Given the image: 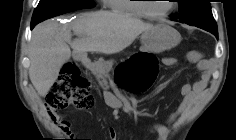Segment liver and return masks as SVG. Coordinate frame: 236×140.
<instances>
[{"label": "liver", "instance_id": "liver-1", "mask_svg": "<svg viewBox=\"0 0 236 140\" xmlns=\"http://www.w3.org/2000/svg\"><path fill=\"white\" fill-rule=\"evenodd\" d=\"M153 25L128 15L98 11L80 15L69 27L56 22L38 24L32 31L29 77L38 94L45 97L60 69L73 53H118ZM71 30L78 36L71 41Z\"/></svg>", "mask_w": 236, "mask_h": 140}]
</instances>
